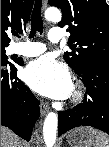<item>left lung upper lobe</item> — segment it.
Listing matches in <instances>:
<instances>
[{"mask_svg": "<svg viewBox=\"0 0 109 147\" xmlns=\"http://www.w3.org/2000/svg\"><path fill=\"white\" fill-rule=\"evenodd\" d=\"M49 4L62 11L59 26L68 27L69 43H75L64 59L79 76L90 61H109V5L105 0H49Z\"/></svg>", "mask_w": 109, "mask_h": 147, "instance_id": "obj_1", "label": "left lung upper lobe"}]
</instances>
